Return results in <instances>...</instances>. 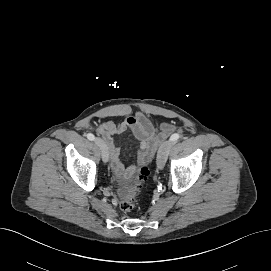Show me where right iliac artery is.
I'll use <instances>...</instances> for the list:
<instances>
[{"label":"right iliac artery","mask_w":271,"mask_h":271,"mask_svg":"<svg viewBox=\"0 0 271 271\" xmlns=\"http://www.w3.org/2000/svg\"><path fill=\"white\" fill-rule=\"evenodd\" d=\"M87 138L90 140V141H94L95 140V136L91 133H88L87 134Z\"/></svg>","instance_id":"right-iliac-artery-1"}]
</instances>
